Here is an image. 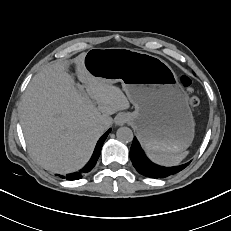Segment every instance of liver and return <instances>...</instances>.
I'll return each mask as SVG.
<instances>
[{"instance_id":"6515ba94","label":"liver","mask_w":231,"mask_h":231,"mask_svg":"<svg viewBox=\"0 0 231 231\" xmlns=\"http://www.w3.org/2000/svg\"><path fill=\"white\" fill-rule=\"evenodd\" d=\"M85 55H78L71 63L87 98L76 88L69 73L70 62L57 61L32 78L20 104V124L29 152L38 164L54 173L82 168L97 140L112 125L111 115L130 107L119 87L87 71Z\"/></svg>"}]
</instances>
